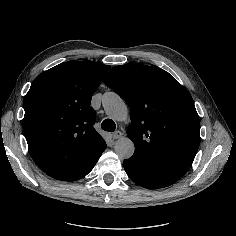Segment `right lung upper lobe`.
I'll return each mask as SVG.
<instances>
[{"label": "right lung upper lobe", "mask_w": 236, "mask_h": 236, "mask_svg": "<svg viewBox=\"0 0 236 236\" xmlns=\"http://www.w3.org/2000/svg\"><path fill=\"white\" fill-rule=\"evenodd\" d=\"M110 66L65 62L37 76L24 98L29 152L54 179L66 181L106 148L94 129L91 98Z\"/></svg>", "instance_id": "obj_1"}]
</instances>
